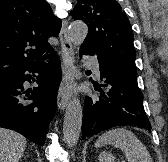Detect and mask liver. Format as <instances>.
<instances>
[{"label":"liver","mask_w":168,"mask_h":162,"mask_svg":"<svg viewBox=\"0 0 168 162\" xmlns=\"http://www.w3.org/2000/svg\"><path fill=\"white\" fill-rule=\"evenodd\" d=\"M27 146L21 134L0 128V162H18Z\"/></svg>","instance_id":"obj_1"}]
</instances>
